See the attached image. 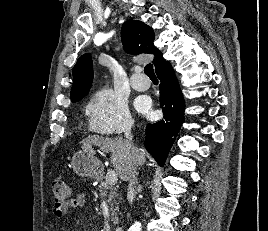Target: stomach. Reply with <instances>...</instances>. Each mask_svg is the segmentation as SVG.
<instances>
[{"label":"stomach","mask_w":268,"mask_h":231,"mask_svg":"<svg viewBox=\"0 0 268 231\" xmlns=\"http://www.w3.org/2000/svg\"><path fill=\"white\" fill-rule=\"evenodd\" d=\"M71 165L73 170L81 177H97L102 172L101 162L87 150H79L74 153Z\"/></svg>","instance_id":"stomach-1"}]
</instances>
